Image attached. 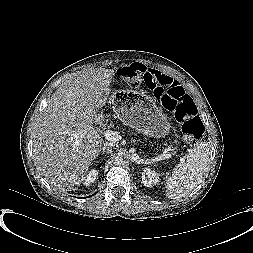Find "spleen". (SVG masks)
Returning a JSON list of instances; mask_svg holds the SVG:
<instances>
[{
	"label": "spleen",
	"mask_w": 253,
	"mask_h": 253,
	"mask_svg": "<svg viewBox=\"0 0 253 253\" xmlns=\"http://www.w3.org/2000/svg\"><path fill=\"white\" fill-rule=\"evenodd\" d=\"M210 161V148L208 143L201 142L191 149L189 154L181 159V162L168 176L166 196L170 199L182 198L188 195L203 179Z\"/></svg>",
	"instance_id": "1"
}]
</instances>
